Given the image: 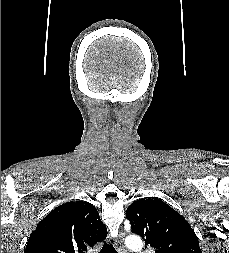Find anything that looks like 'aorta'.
<instances>
[{
	"label": "aorta",
	"instance_id": "762f6f07",
	"mask_svg": "<svg viewBox=\"0 0 229 253\" xmlns=\"http://www.w3.org/2000/svg\"><path fill=\"white\" fill-rule=\"evenodd\" d=\"M126 245L129 249L140 251L142 248V240L137 236H131L126 240Z\"/></svg>",
	"mask_w": 229,
	"mask_h": 253
}]
</instances>
